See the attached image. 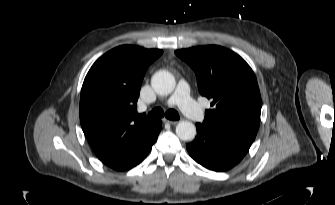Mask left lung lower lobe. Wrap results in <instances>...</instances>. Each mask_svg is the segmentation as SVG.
<instances>
[{
	"mask_svg": "<svg viewBox=\"0 0 335 205\" xmlns=\"http://www.w3.org/2000/svg\"><path fill=\"white\" fill-rule=\"evenodd\" d=\"M197 136L186 145L190 156L202 166L214 171H227L239 163L251 143L235 139L202 124H196Z\"/></svg>",
	"mask_w": 335,
	"mask_h": 205,
	"instance_id": "obj_1",
	"label": "left lung lower lobe"
}]
</instances>
